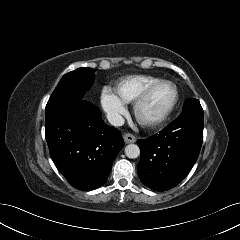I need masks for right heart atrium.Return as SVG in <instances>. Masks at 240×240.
<instances>
[{
	"label": "right heart atrium",
	"mask_w": 240,
	"mask_h": 240,
	"mask_svg": "<svg viewBox=\"0 0 240 240\" xmlns=\"http://www.w3.org/2000/svg\"><path fill=\"white\" fill-rule=\"evenodd\" d=\"M100 99L109 121L113 124L120 123L127 112L126 103L109 87L103 88Z\"/></svg>",
	"instance_id": "d8ad5b80"
}]
</instances>
